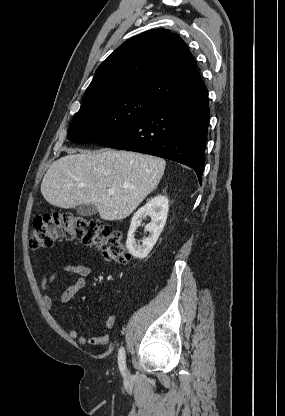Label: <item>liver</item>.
<instances>
[{
	"label": "liver",
	"instance_id": "1",
	"mask_svg": "<svg viewBox=\"0 0 285 416\" xmlns=\"http://www.w3.org/2000/svg\"><path fill=\"white\" fill-rule=\"evenodd\" d=\"M68 156L51 164L41 194L57 208L94 204L102 220H123L157 188L165 160L137 152L67 150ZM108 190H115L109 196Z\"/></svg>",
	"mask_w": 285,
	"mask_h": 416
}]
</instances>
